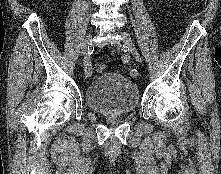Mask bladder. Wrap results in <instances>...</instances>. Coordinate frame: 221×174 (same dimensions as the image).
<instances>
[{
    "instance_id": "31cf9c89",
    "label": "bladder",
    "mask_w": 221,
    "mask_h": 174,
    "mask_svg": "<svg viewBox=\"0 0 221 174\" xmlns=\"http://www.w3.org/2000/svg\"><path fill=\"white\" fill-rule=\"evenodd\" d=\"M87 106L102 114H126L134 111L140 100L137 85L118 72H107L92 80L86 88Z\"/></svg>"
}]
</instances>
